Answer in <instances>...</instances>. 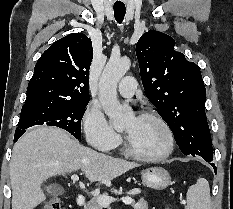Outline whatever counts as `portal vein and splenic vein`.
<instances>
[{
    "label": "portal vein and splenic vein",
    "mask_w": 233,
    "mask_h": 209,
    "mask_svg": "<svg viewBox=\"0 0 233 209\" xmlns=\"http://www.w3.org/2000/svg\"><path fill=\"white\" fill-rule=\"evenodd\" d=\"M71 179L73 181H77L79 180V177L76 174H73L71 176ZM117 199L113 198V197H109V196H105V195H100L99 197H97V202L102 205L103 207H108L110 205V203L115 202ZM121 201L126 204V205H130L132 204L133 200L130 197H124L121 198Z\"/></svg>",
    "instance_id": "obj_1"
}]
</instances>
